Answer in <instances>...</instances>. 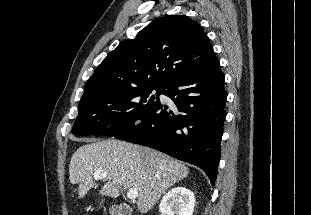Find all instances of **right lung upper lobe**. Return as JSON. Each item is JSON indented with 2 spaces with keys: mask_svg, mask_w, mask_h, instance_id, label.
I'll return each mask as SVG.
<instances>
[{
  "mask_svg": "<svg viewBox=\"0 0 311 215\" xmlns=\"http://www.w3.org/2000/svg\"><path fill=\"white\" fill-rule=\"evenodd\" d=\"M216 60L198 22L185 15L161 17L107 55L87 81L81 100L133 88H163Z\"/></svg>",
  "mask_w": 311,
  "mask_h": 215,
  "instance_id": "cb5924a9",
  "label": "right lung upper lobe"
}]
</instances>
